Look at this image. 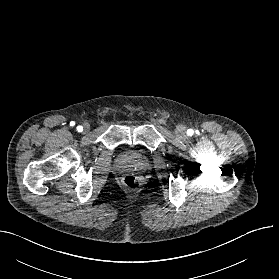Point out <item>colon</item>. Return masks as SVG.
I'll list each match as a JSON object with an SVG mask.
<instances>
[{
    "mask_svg": "<svg viewBox=\"0 0 279 279\" xmlns=\"http://www.w3.org/2000/svg\"><path fill=\"white\" fill-rule=\"evenodd\" d=\"M122 184L125 187L133 190V189H136L140 186L141 179L137 175L130 174V175H127V176L123 177Z\"/></svg>",
    "mask_w": 279,
    "mask_h": 279,
    "instance_id": "obj_1",
    "label": "colon"
}]
</instances>
